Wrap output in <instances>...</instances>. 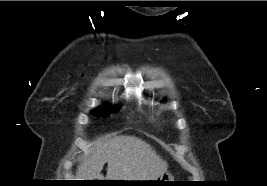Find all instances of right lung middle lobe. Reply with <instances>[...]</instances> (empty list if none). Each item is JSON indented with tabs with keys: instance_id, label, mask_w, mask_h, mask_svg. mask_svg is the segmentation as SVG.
Returning a JSON list of instances; mask_svg holds the SVG:
<instances>
[{
	"instance_id": "dd1d6c3e",
	"label": "right lung middle lobe",
	"mask_w": 267,
	"mask_h": 186,
	"mask_svg": "<svg viewBox=\"0 0 267 186\" xmlns=\"http://www.w3.org/2000/svg\"><path fill=\"white\" fill-rule=\"evenodd\" d=\"M118 111V110H117ZM116 112L115 109H112L110 106L106 105L102 108H97L93 111L94 114L98 115V116H107L109 113H113Z\"/></svg>"
}]
</instances>
